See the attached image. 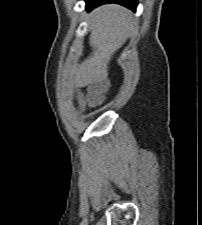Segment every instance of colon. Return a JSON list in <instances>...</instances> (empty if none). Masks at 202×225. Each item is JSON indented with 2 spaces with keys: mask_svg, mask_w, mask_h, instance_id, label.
<instances>
[{
  "mask_svg": "<svg viewBox=\"0 0 202 225\" xmlns=\"http://www.w3.org/2000/svg\"><path fill=\"white\" fill-rule=\"evenodd\" d=\"M103 94H104V91H102L100 89H94L92 101L95 103L100 102L103 99Z\"/></svg>",
  "mask_w": 202,
  "mask_h": 225,
  "instance_id": "1",
  "label": "colon"
}]
</instances>
